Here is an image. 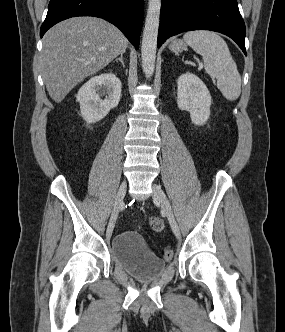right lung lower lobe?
Wrapping results in <instances>:
<instances>
[{
	"instance_id": "1",
	"label": "right lung lower lobe",
	"mask_w": 285,
	"mask_h": 332,
	"mask_svg": "<svg viewBox=\"0 0 285 332\" xmlns=\"http://www.w3.org/2000/svg\"><path fill=\"white\" fill-rule=\"evenodd\" d=\"M75 16L103 18L118 27L139 48L143 0H50L40 37L56 23Z\"/></svg>"
}]
</instances>
